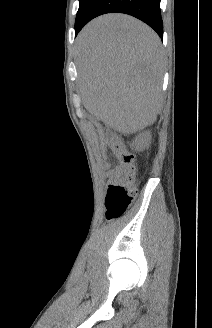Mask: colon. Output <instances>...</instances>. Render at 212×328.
<instances>
[{
    "label": "colon",
    "instance_id": "colon-1",
    "mask_svg": "<svg viewBox=\"0 0 212 328\" xmlns=\"http://www.w3.org/2000/svg\"><path fill=\"white\" fill-rule=\"evenodd\" d=\"M108 143L122 165L120 181L109 185L105 196L106 218L115 220L123 216L134 201L137 169L134 156L123 147L119 140L111 138Z\"/></svg>",
    "mask_w": 212,
    "mask_h": 328
}]
</instances>
